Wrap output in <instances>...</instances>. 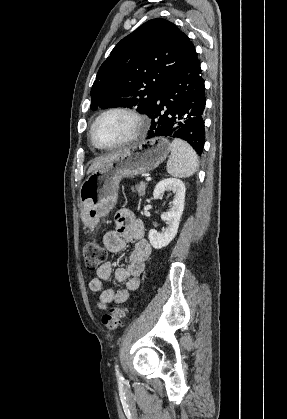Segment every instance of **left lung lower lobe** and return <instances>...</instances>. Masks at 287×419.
<instances>
[{
  "instance_id": "left-lung-lower-lobe-1",
  "label": "left lung lower lobe",
  "mask_w": 287,
  "mask_h": 419,
  "mask_svg": "<svg viewBox=\"0 0 287 419\" xmlns=\"http://www.w3.org/2000/svg\"><path fill=\"white\" fill-rule=\"evenodd\" d=\"M204 91L200 63L196 59L158 91L147 114L152 119L147 139L160 136L180 138L201 155L204 146Z\"/></svg>"
}]
</instances>
